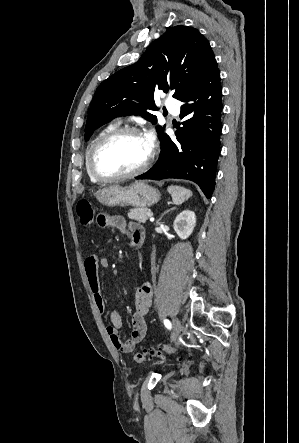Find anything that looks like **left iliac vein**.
I'll use <instances>...</instances> for the list:
<instances>
[{"label": "left iliac vein", "mask_w": 299, "mask_h": 443, "mask_svg": "<svg viewBox=\"0 0 299 443\" xmlns=\"http://www.w3.org/2000/svg\"><path fill=\"white\" fill-rule=\"evenodd\" d=\"M172 327H173V334H172L171 339H172V341H175L178 338V336L182 330V325H181V322L179 321L178 318L173 319Z\"/></svg>", "instance_id": "4c4485c4"}]
</instances>
